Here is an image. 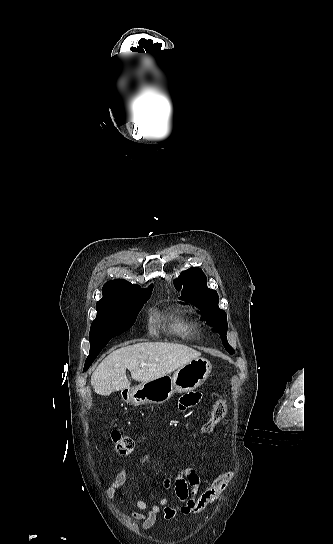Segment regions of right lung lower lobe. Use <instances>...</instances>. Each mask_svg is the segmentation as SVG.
<instances>
[{
	"label": "right lung lower lobe",
	"mask_w": 333,
	"mask_h": 544,
	"mask_svg": "<svg viewBox=\"0 0 333 544\" xmlns=\"http://www.w3.org/2000/svg\"><path fill=\"white\" fill-rule=\"evenodd\" d=\"M89 368V367H88ZM87 367H84V371H86L88 369Z\"/></svg>",
	"instance_id": "98d812e1"
}]
</instances>
